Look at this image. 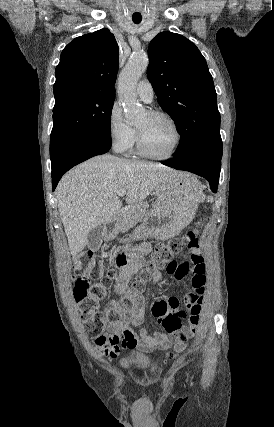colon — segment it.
<instances>
[{
	"label": "colon",
	"mask_w": 274,
	"mask_h": 427,
	"mask_svg": "<svg viewBox=\"0 0 274 427\" xmlns=\"http://www.w3.org/2000/svg\"><path fill=\"white\" fill-rule=\"evenodd\" d=\"M201 229V223L198 222L195 226L187 231L191 232V236H199ZM185 235L165 241L159 244L156 250L153 252L151 261L148 263L147 272H143V277H147L153 270L160 268L165 269V266L173 260L180 258L185 252V249L189 248V245L183 243V238ZM139 255V250L135 246H130L127 248L126 252L120 250L115 252L110 257V261L115 266H123L127 263L128 258L135 259ZM100 270V263L88 256H80L72 265V271L74 275L79 276L74 282V292L76 296L82 298L77 303H82V313L81 319L84 323V327L88 333V336L91 338H97L100 333L104 331L105 317L103 313L98 312V303L95 299H86L83 298L87 296L89 292V282L87 279H90L92 276H95ZM114 279V271L109 269L107 275L103 278V284L106 288L112 286ZM142 288L140 282H133L132 289L138 290ZM99 300H102L103 297L99 295ZM124 300H129V295H124ZM109 318L116 316V310L114 308H108ZM186 353V345H176L175 350H168L167 356L165 357L166 363H172L173 359L177 360L178 364H189L190 356L189 355H178Z\"/></svg>",
	"instance_id": "1"
}]
</instances>
